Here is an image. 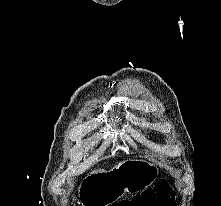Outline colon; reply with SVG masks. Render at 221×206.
I'll list each match as a JSON object with an SVG mask.
<instances>
[{"instance_id":"1","label":"colon","mask_w":221,"mask_h":206,"mask_svg":"<svg viewBox=\"0 0 221 206\" xmlns=\"http://www.w3.org/2000/svg\"><path fill=\"white\" fill-rule=\"evenodd\" d=\"M175 197L165 180L156 182L153 188L146 189L131 200H121L112 206H174Z\"/></svg>"}]
</instances>
